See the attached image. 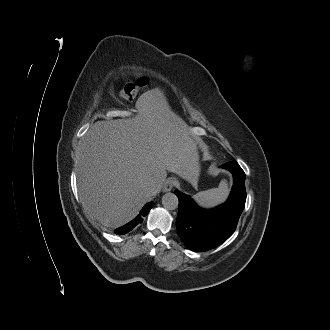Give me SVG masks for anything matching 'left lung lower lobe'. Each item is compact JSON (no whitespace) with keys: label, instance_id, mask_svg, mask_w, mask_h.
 Returning a JSON list of instances; mask_svg holds the SVG:
<instances>
[{"label":"left lung lower lobe","instance_id":"left-lung-lower-lobe-1","mask_svg":"<svg viewBox=\"0 0 330 330\" xmlns=\"http://www.w3.org/2000/svg\"><path fill=\"white\" fill-rule=\"evenodd\" d=\"M220 167L232 172L234 185L228 200L212 209H200L190 196L175 190L179 198L176 228L179 237L192 251H206L225 242L235 231L246 199L245 173L235 161Z\"/></svg>","mask_w":330,"mask_h":330}]
</instances>
